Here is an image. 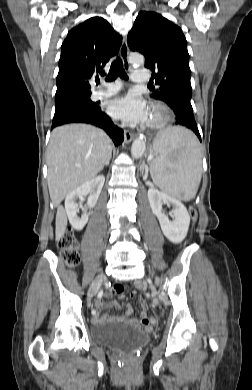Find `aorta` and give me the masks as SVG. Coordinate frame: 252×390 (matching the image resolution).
<instances>
[{
    "mask_svg": "<svg viewBox=\"0 0 252 390\" xmlns=\"http://www.w3.org/2000/svg\"><path fill=\"white\" fill-rule=\"evenodd\" d=\"M129 62L134 65H142L144 64V57L141 54L138 53H132L129 56ZM146 148L145 140L143 138H137L132 143L131 147V155L133 158H140Z\"/></svg>",
    "mask_w": 252,
    "mask_h": 390,
    "instance_id": "obj_1",
    "label": "aorta"
}]
</instances>
